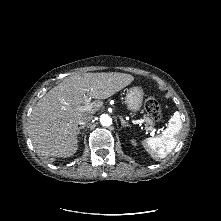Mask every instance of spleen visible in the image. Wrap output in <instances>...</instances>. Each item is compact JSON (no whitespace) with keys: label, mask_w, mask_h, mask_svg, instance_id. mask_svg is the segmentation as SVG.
Here are the masks:
<instances>
[{"label":"spleen","mask_w":221,"mask_h":221,"mask_svg":"<svg viewBox=\"0 0 221 221\" xmlns=\"http://www.w3.org/2000/svg\"><path fill=\"white\" fill-rule=\"evenodd\" d=\"M182 128L180 113L175 112L170 118L168 127L160 136L150 137L144 140V146L154 159L165 158L177 145V137Z\"/></svg>","instance_id":"spleen-1"}]
</instances>
